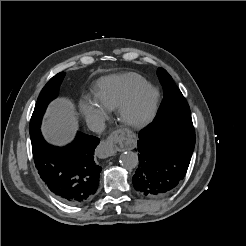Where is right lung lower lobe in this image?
<instances>
[{
  "mask_svg": "<svg viewBox=\"0 0 246 246\" xmlns=\"http://www.w3.org/2000/svg\"><path fill=\"white\" fill-rule=\"evenodd\" d=\"M30 138L38 173L62 202L77 205L92 197L102 169L94 161L99 138L78 132L65 147L48 144L40 129L30 133Z\"/></svg>",
  "mask_w": 246,
  "mask_h": 246,
  "instance_id": "obj_1",
  "label": "right lung lower lobe"
}]
</instances>
